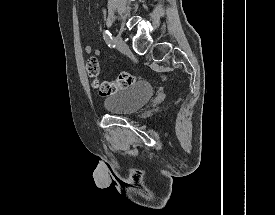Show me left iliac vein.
Here are the masks:
<instances>
[{
  "instance_id": "obj_1",
  "label": "left iliac vein",
  "mask_w": 275,
  "mask_h": 215,
  "mask_svg": "<svg viewBox=\"0 0 275 215\" xmlns=\"http://www.w3.org/2000/svg\"><path fill=\"white\" fill-rule=\"evenodd\" d=\"M114 43H115L116 48L120 52L125 53V54L130 52L128 45L123 41V39L120 36H118V35L115 36Z\"/></svg>"
}]
</instances>
